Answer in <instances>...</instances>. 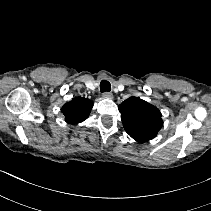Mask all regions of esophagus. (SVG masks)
<instances>
[{
	"mask_svg": "<svg viewBox=\"0 0 211 211\" xmlns=\"http://www.w3.org/2000/svg\"><path fill=\"white\" fill-rule=\"evenodd\" d=\"M103 97L106 99H113V94L111 92H104Z\"/></svg>",
	"mask_w": 211,
	"mask_h": 211,
	"instance_id": "esophagus-1",
	"label": "esophagus"
}]
</instances>
